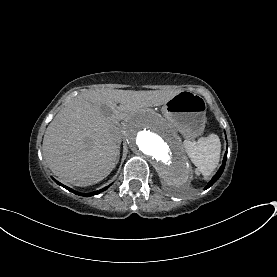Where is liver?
<instances>
[{"label": "liver", "instance_id": "obj_1", "mask_svg": "<svg viewBox=\"0 0 277 277\" xmlns=\"http://www.w3.org/2000/svg\"><path fill=\"white\" fill-rule=\"evenodd\" d=\"M173 95L114 89L77 95L47 127L43 156L48 167L75 186L100 182L116 167L122 138H127V126L138 111L161 106Z\"/></svg>", "mask_w": 277, "mask_h": 277}]
</instances>
